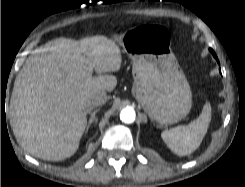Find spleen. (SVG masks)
I'll use <instances>...</instances> for the list:
<instances>
[{
  "label": "spleen",
  "mask_w": 245,
  "mask_h": 187,
  "mask_svg": "<svg viewBox=\"0 0 245 187\" xmlns=\"http://www.w3.org/2000/svg\"><path fill=\"white\" fill-rule=\"evenodd\" d=\"M211 121V105L206 102L199 117L188 125L165 130L161 137L166 145L179 156L189 155L199 148Z\"/></svg>",
  "instance_id": "obj_1"
}]
</instances>
